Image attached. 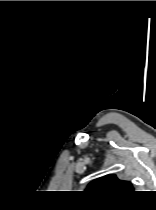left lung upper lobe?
Returning <instances> with one entry per match:
<instances>
[{"mask_svg": "<svg viewBox=\"0 0 156 210\" xmlns=\"http://www.w3.org/2000/svg\"><path fill=\"white\" fill-rule=\"evenodd\" d=\"M87 190L91 192L128 194L133 192V186L128 181H122L116 175H107L92 181Z\"/></svg>", "mask_w": 156, "mask_h": 210, "instance_id": "left-lung-upper-lobe-1", "label": "left lung upper lobe"}]
</instances>
